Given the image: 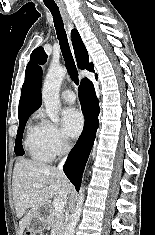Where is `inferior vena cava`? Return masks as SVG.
I'll return each instance as SVG.
<instances>
[{"label":"inferior vena cava","mask_w":155,"mask_h":235,"mask_svg":"<svg viewBox=\"0 0 155 235\" xmlns=\"http://www.w3.org/2000/svg\"><path fill=\"white\" fill-rule=\"evenodd\" d=\"M68 150H69V149H68ZM65 160H66V157L59 163L58 168H60V167L63 165V163L65 162Z\"/></svg>","instance_id":"1"}]
</instances>
